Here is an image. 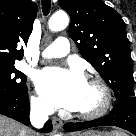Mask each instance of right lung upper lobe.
<instances>
[{
	"label": "right lung upper lobe",
	"mask_w": 136,
	"mask_h": 136,
	"mask_svg": "<svg viewBox=\"0 0 136 136\" xmlns=\"http://www.w3.org/2000/svg\"><path fill=\"white\" fill-rule=\"evenodd\" d=\"M37 14L31 0H0V64L23 58L21 44H27Z\"/></svg>",
	"instance_id": "obj_1"
}]
</instances>
